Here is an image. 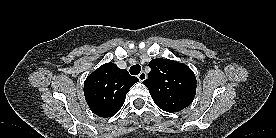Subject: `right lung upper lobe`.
I'll use <instances>...</instances> for the list:
<instances>
[{
  "label": "right lung upper lobe",
  "mask_w": 276,
  "mask_h": 138,
  "mask_svg": "<svg viewBox=\"0 0 276 138\" xmlns=\"http://www.w3.org/2000/svg\"><path fill=\"white\" fill-rule=\"evenodd\" d=\"M138 78L114 63H106L92 72L84 82V95L91 111L104 118L114 116L124 104L130 87Z\"/></svg>",
  "instance_id": "obj_1"
}]
</instances>
